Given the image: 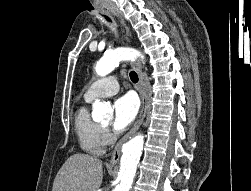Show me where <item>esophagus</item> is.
<instances>
[{"label":"esophagus","instance_id":"1","mask_svg":"<svg viewBox=\"0 0 251 191\" xmlns=\"http://www.w3.org/2000/svg\"><path fill=\"white\" fill-rule=\"evenodd\" d=\"M113 14L116 15L120 19V22H121L123 29H124L125 38L128 41V43H130V30L127 27V25L125 24L124 19L122 17H120V15L116 12H113ZM131 65L137 71V73L139 75V86H140L139 93H140V97L142 100V106H141L139 116H138L133 128H131V130L128 133L124 134V136H122V138L119 139L118 143L116 144L114 151L112 153V156H111V160H110L111 166H115L118 163V161L120 159V153H121V148H122L123 144L129 138H131V136H133L134 133H136V131L140 128V125L144 121L146 111H147L148 99H147V91H146V87H145V83H144V75H143L141 63L137 60V61H133L131 63Z\"/></svg>","mask_w":251,"mask_h":191}]
</instances>
